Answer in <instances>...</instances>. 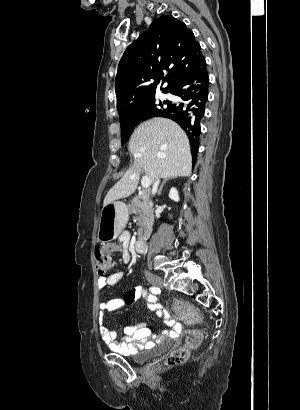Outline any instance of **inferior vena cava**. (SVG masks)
Listing matches in <instances>:
<instances>
[{
    "instance_id": "602c4592",
    "label": "inferior vena cava",
    "mask_w": 300,
    "mask_h": 410,
    "mask_svg": "<svg viewBox=\"0 0 300 410\" xmlns=\"http://www.w3.org/2000/svg\"><path fill=\"white\" fill-rule=\"evenodd\" d=\"M158 185H159V179H157V181H156V182L154 183V185H153V189H152V194H153V195L156 194Z\"/></svg>"
}]
</instances>
